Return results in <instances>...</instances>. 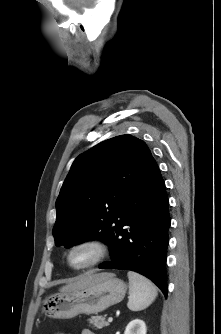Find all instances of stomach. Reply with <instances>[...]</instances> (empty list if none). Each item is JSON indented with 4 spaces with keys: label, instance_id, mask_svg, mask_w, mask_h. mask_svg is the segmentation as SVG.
I'll return each instance as SVG.
<instances>
[{
    "label": "stomach",
    "instance_id": "0dacf381",
    "mask_svg": "<svg viewBox=\"0 0 221 334\" xmlns=\"http://www.w3.org/2000/svg\"><path fill=\"white\" fill-rule=\"evenodd\" d=\"M100 279L79 290L61 292L43 301V312L51 318L70 319L79 314H98L121 302L127 285L110 273H99Z\"/></svg>",
    "mask_w": 221,
    "mask_h": 334
}]
</instances>
